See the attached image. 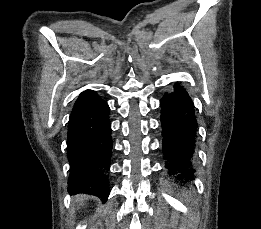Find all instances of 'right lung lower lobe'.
<instances>
[{
	"label": "right lung lower lobe",
	"instance_id": "right-lung-lower-lobe-1",
	"mask_svg": "<svg viewBox=\"0 0 261 229\" xmlns=\"http://www.w3.org/2000/svg\"><path fill=\"white\" fill-rule=\"evenodd\" d=\"M109 110L95 91L80 94L68 122L67 157L70 163L68 191L106 201L112 150Z\"/></svg>",
	"mask_w": 261,
	"mask_h": 229
}]
</instances>
